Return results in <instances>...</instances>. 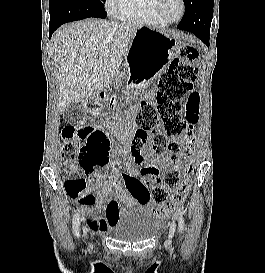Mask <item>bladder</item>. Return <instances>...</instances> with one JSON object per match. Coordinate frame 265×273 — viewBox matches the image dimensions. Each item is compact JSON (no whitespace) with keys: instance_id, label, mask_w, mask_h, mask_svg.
Masks as SVG:
<instances>
[{"instance_id":"1","label":"bladder","mask_w":265,"mask_h":273,"mask_svg":"<svg viewBox=\"0 0 265 273\" xmlns=\"http://www.w3.org/2000/svg\"><path fill=\"white\" fill-rule=\"evenodd\" d=\"M160 226V216L142 204L126 208L109 228V233L124 242H141L152 238Z\"/></svg>"}]
</instances>
